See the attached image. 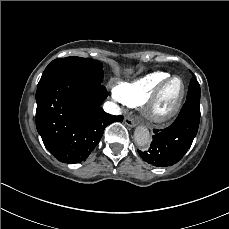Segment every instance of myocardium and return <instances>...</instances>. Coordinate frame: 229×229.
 <instances>
[{
  "mask_svg": "<svg viewBox=\"0 0 229 229\" xmlns=\"http://www.w3.org/2000/svg\"><path fill=\"white\" fill-rule=\"evenodd\" d=\"M179 80L182 84V94L178 101L168 111H161L158 108V101L161 99V93L175 81ZM187 96V87L184 80L179 76L166 77L152 88L150 93L143 98V102L148 104L147 116L153 124H164L172 120L180 112Z\"/></svg>",
  "mask_w": 229,
  "mask_h": 229,
  "instance_id": "1",
  "label": "myocardium"
}]
</instances>
